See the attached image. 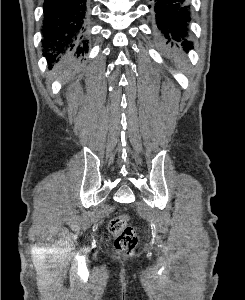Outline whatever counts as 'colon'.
<instances>
[{
    "instance_id": "colon-1",
    "label": "colon",
    "mask_w": 245,
    "mask_h": 300,
    "mask_svg": "<svg viewBox=\"0 0 245 300\" xmlns=\"http://www.w3.org/2000/svg\"><path fill=\"white\" fill-rule=\"evenodd\" d=\"M129 220V215L122 214L112 218L108 225L115 248L123 255L132 254L138 242L136 229L129 224Z\"/></svg>"
}]
</instances>
